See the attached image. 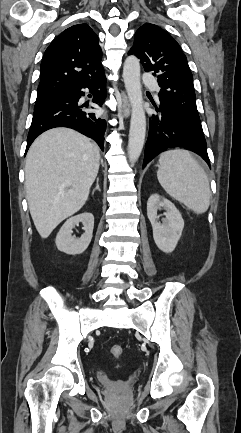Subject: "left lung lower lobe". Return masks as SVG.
Returning a JSON list of instances; mask_svg holds the SVG:
<instances>
[{
  "mask_svg": "<svg viewBox=\"0 0 241 433\" xmlns=\"http://www.w3.org/2000/svg\"><path fill=\"white\" fill-rule=\"evenodd\" d=\"M155 109L156 113L149 120L143 168L159 153L173 147H184L197 153L210 166L204 135L191 128L167 106L155 105Z\"/></svg>",
  "mask_w": 241,
  "mask_h": 433,
  "instance_id": "obj_1",
  "label": "left lung lower lobe"
}]
</instances>
